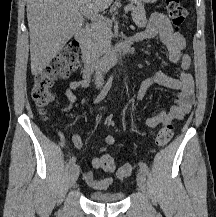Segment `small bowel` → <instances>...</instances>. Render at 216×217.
<instances>
[{"label": "small bowel", "mask_w": 216, "mask_h": 217, "mask_svg": "<svg viewBox=\"0 0 216 217\" xmlns=\"http://www.w3.org/2000/svg\"><path fill=\"white\" fill-rule=\"evenodd\" d=\"M140 40L159 38L160 42L165 46L170 60L179 66V76L173 77L163 72H157L152 77L146 79L139 88L136 100H141L148 88L156 83L164 87L172 88L177 91L174 98V104L169 109H162L157 114L151 116L147 120V126L151 129L161 124H170L175 120L183 119L190 111L194 102V80L189 72L191 65V57L186 52V41L184 37L173 30L169 19L162 13L153 14L149 20L146 29L139 35ZM90 83V76L82 74L78 79L71 81L64 91L65 97L75 103L76 98L74 91L85 88ZM71 140L75 148L81 150L84 147L81 137L72 133ZM115 139L108 135L104 138V146L101 148V154L92 161L95 169L102 168L105 159L111 157L105 154L107 147L113 146ZM83 179L88 186L97 190H107L112 185L111 178H95L91 171L83 173Z\"/></svg>", "instance_id": "1"}]
</instances>
